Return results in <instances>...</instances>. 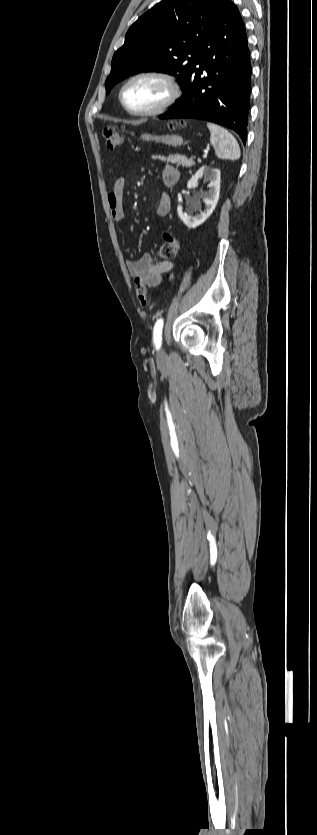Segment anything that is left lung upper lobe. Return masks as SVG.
Wrapping results in <instances>:
<instances>
[{
    "label": "left lung upper lobe",
    "mask_w": 317,
    "mask_h": 835,
    "mask_svg": "<svg viewBox=\"0 0 317 835\" xmlns=\"http://www.w3.org/2000/svg\"><path fill=\"white\" fill-rule=\"evenodd\" d=\"M231 3L164 0L156 4L131 25L124 45L115 52L106 93L127 76L143 71L171 74L183 90L203 43Z\"/></svg>",
    "instance_id": "left-lung-upper-lobe-1"
}]
</instances>
